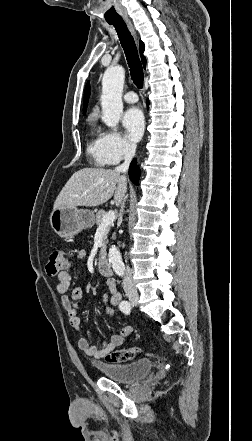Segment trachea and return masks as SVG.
I'll use <instances>...</instances> for the list:
<instances>
[{
  "label": "trachea",
  "instance_id": "1",
  "mask_svg": "<svg viewBox=\"0 0 252 441\" xmlns=\"http://www.w3.org/2000/svg\"><path fill=\"white\" fill-rule=\"evenodd\" d=\"M113 25L118 33L121 45L124 49L126 59L130 68L131 78L133 83L138 88H143L144 74L143 67L138 55L135 41L130 34L125 22L121 20L108 21Z\"/></svg>",
  "mask_w": 252,
  "mask_h": 441
}]
</instances>
